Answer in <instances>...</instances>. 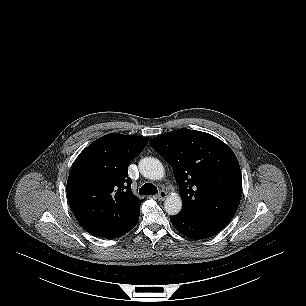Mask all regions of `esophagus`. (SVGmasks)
<instances>
[{
	"label": "esophagus",
	"mask_w": 306,
	"mask_h": 306,
	"mask_svg": "<svg viewBox=\"0 0 306 306\" xmlns=\"http://www.w3.org/2000/svg\"><path fill=\"white\" fill-rule=\"evenodd\" d=\"M167 197V192L164 191V190H161L158 195L156 196V198L159 200V201H163L165 200Z\"/></svg>",
	"instance_id": "esophagus-1"
}]
</instances>
